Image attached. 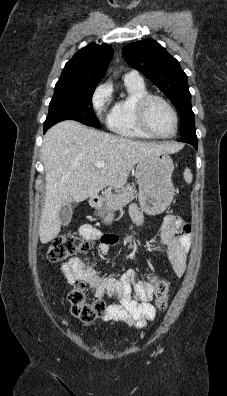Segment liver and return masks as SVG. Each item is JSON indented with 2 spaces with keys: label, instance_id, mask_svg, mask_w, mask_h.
<instances>
[{
  "label": "liver",
  "instance_id": "liver-1",
  "mask_svg": "<svg viewBox=\"0 0 227 396\" xmlns=\"http://www.w3.org/2000/svg\"><path fill=\"white\" fill-rule=\"evenodd\" d=\"M176 143H148L115 136L65 120L50 128L44 136L41 157L45 168L46 196L39 222L42 244L60 232L62 205L80 203L96 196L101 189L121 188L132 168L155 153H175ZM105 166L96 168L95 162Z\"/></svg>",
  "mask_w": 227,
  "mask_h": 396
}]
</instances>
